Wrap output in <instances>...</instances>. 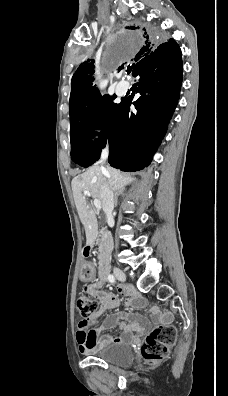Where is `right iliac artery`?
<instances>
[{
    "label": "right iliac artery",
    "instance_id": "82829eb1",
    "mask_svg": "<svg viewBox=\"0 0 228 396\" xmlns=\"http://www.w3.org/2000/svg\"><path fill=\"white\" fill-rule=\"evenodd\" d=\"M108 280H109V282L114 283L115 282V277L112 274H109L108 275Z\"/></svg>",
    "mask_w": 228,
    "mask_h": 396
}]
</instances>
